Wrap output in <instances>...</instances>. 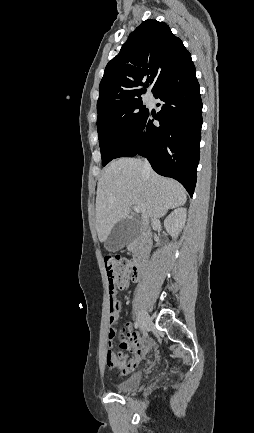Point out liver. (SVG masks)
<instances>
[{
    "instance_id": "liver-1",
    "label": "liver",
    "mask_w": 254,
    "mask_h": 433,
    "mask_svg": "<svg viewBox=\"0 0 254 433\" xmlns=\"http://www.w3.org/2000/svg\"><path fill=\"white\" fill-rule=\"evenodd\" d=\"M183 186L164 178L137 158L112 161L98 181L96 196V231L105 242L117 222L126 219L131 206L140 207L145 226L152 218L164 216L169 209L186 203Z\"/></svg>"
}]
</instances>
